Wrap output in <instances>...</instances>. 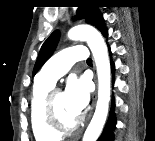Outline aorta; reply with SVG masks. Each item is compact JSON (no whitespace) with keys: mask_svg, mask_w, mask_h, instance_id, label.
I'll return each mask as SVG.
<instances>
[{"mask_svg":"<svg viewBox=\"0 0 155 141\" xmlns=\"http://www.w3.org/2000/svg\"><path fill=\"white\" fill-rule=\"evenodd\" d=\"M71 40H84L92 51L98 75V101L93 118L87 127L82 141H96L104 127L110 101V62L107 46L101 34L88 25H78L68 32Z\"/></svg>","mask_w":155,"mask_h":141,"instance_id":"aorta-1","label":"aorta"}]
</instances>
